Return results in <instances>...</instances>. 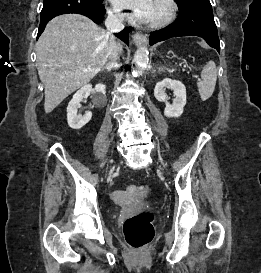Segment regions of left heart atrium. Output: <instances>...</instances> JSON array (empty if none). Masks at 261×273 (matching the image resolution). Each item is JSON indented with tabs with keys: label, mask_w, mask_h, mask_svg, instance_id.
<instances>
[{
	"label": "left heart atrium",
	"mask_w": 261,
	"mask_h": 273,
	"mask_svg": "<svg viewBox=\"0 0 261 273\" xmlns=\"http://www.w3.org/2000/svg\"><path fill=\"white\" fill-rule=\"evenodd\" d=\"M114 6L128 10L127 16L141 22H149L153 15L156 0H111Z\"/></svg>",
	"instance_id": "obj_1"
}]
</instances>
